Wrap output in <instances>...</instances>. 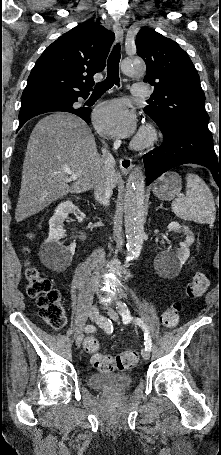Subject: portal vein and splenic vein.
Segmentation results:
<instances>
[{"mask_svg":"<svg viewBox=\"0 0 221 455\" xmlns=\"http://www.w3.org/2000/svg\"><path fill=\"white\" fill-rule=\"evenodd\" d=\"M66 173H68L70 175V179H72V180L78 179V176L75 173H73L72 171L66 170Z\"/></svg>","mask_w":221,"mask_h":455,"instance_id":"18ae733b","label":"portal vein and splenic vein"}]
</instances>
